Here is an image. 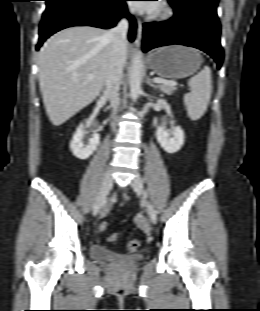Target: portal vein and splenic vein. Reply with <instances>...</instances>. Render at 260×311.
Instances as JSON below:
<instances>
[{"mask_svg": "<svg viewBox=\"0 0 260 311\" xmlns=\"http://www.w3.org/2000/svg\"><path fill=\"white\" fill-rule=\"evenodd\" d=\"M90 77H92V75H91ZM153 81H154L155 83H165V84H169V85H176V82H174V81H166V80H164V79L157 78V77H155V78L153 79Z\"/></svg>", "mask_w": 260, "mask_h": 311, "instance_id": "portal-vein-and-splenic-vein-1", "label": "portal vein and splenic vein"}]
</instances>
